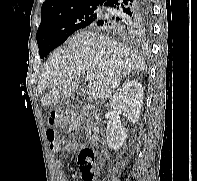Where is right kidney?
<instances>
[{"label": "right kidney", "instance_id": "right-kidney-1", "mask_svg": "<svg viewBox=\"0 0 197 181\" xmlns=\"http://www.w3.org/2000/svg\"><path fill=\"white\" fill-rule=\"evenodd\" d=\"M143 103V86L137 80L127 81L114 94L111 106L117 112H124L133 124L139 119ZM128 130L114 120L107 122L106 140L110 148L118 150L127 138Z\"/></svg>", "mask_w": 197, "mask_h": 181}]
</instances>
